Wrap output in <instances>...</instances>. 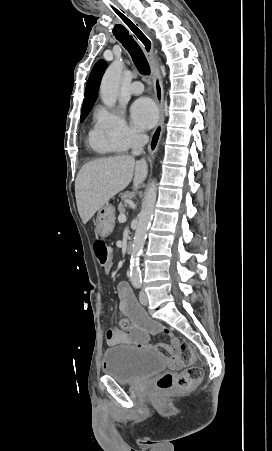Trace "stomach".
<instances>
[{
    "label": "stomach",
    "instance_id": "obj_1",
    "mask_svg": "<svg viewBox=\"0 0 272 451\" xmlns=\"http://www.w3.org/2000/svg\"><path fill=\"white\" fill-rule=\"evenodd\" d=\"M115 226V210L110 204H105L100 210H98L95 233L99 237H107L113 231Z\"/></svg>",
    "mask_w": 272,
    "mask_h": 451
}]
</instances>
